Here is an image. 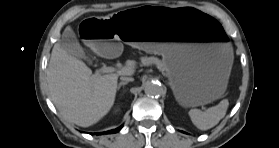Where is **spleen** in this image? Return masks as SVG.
Returning <instances> with one entry per match:
<instances>
[{
    "label": "spleen",
    "instance_id": "obj_1",
    "mask_svg": "<svg viewBox=\"0 0 279 148\" xmlns=\"http://www.w3.org/2000/svg\"><path fill=\"white\" fill-rule=\"evenodd\" d=\"M229 102L222 100L218 105L207 109L205 112L199 109H191L189 116L192 123L200 130H208L216 126L224 118Z\"/></svg>",
    "mask_w": 279,
    "mask_h": 148
}]
</instances>
